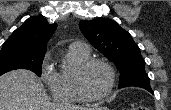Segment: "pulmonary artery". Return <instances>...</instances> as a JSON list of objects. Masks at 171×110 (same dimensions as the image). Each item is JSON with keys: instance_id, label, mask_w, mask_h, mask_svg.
Returning a JSON list of instances; mask_svg holds the SVG:
<instances>
[{"instance_id": "pulmonary-artery-1", "label": "pulmonary artery", "mask_w": 171, "mask_h": 110, "mask_svg": "<svg viewBox=\"0 0 171 110\" xmlns=\"http://www.w3.org/2000/svg\"><path fill=\"white\" fill-rule=\"evenodd\" d=\"M73 45L78 46L84 50L90 51L89 46L84 42H75Z\"/></svg>"}]
</instances>
